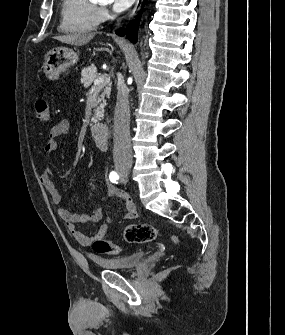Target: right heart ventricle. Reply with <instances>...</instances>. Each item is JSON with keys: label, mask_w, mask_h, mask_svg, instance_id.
Returning <instances> with one entry per match:
<instances>
[{"label": "right heart ventricle", "mask_w": 285, "mask_h": 335, "mask_svg": "<svg viewBox=\"0 0 285 335\" xmlns=\"http://www.w3.org/2000/svg\"><path fill=\"white\" fill-rule=\"evenodd\" d=\"M97 1H68L64 5L63 27L70 26L77 32L93 31L98 22L94 16ZM70 9L77 10L73 16L68 15Z\"/></svg>", "instance_id": "obj_1"}]
</instances>
